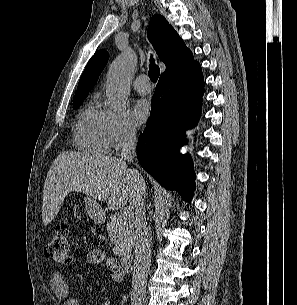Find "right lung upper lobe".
I'll list each match as a JSON object with an SVG mask.
<instances>
[{"mask_svg":"<svg viewBox=\"0 0 297 305\" xmlns=\"http://www.w3.org/2000/svg\"><path fill=\"white\" fill-rule=\"evenodd\" d=\"M148 38L159 59L166 65L161 76L177 75L197 63L193 60L192 52L163 16L156 14L151 18ZM108 57V52L104 50H100L92 56L81 75L73 101L87 97L88 91L93 88L104 69Z\"/></svg>","mask_w":297,"mask_h":305,"instance_id":"1","label":"right lung upper lobe"}]
</instances>
